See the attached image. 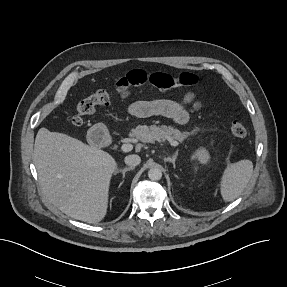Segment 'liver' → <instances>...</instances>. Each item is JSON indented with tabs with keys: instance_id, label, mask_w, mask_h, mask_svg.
<instances>
[{
	"instance_id": "liver-1",
	"label": "liver",
	"mask_w": 287,
	"mask_h": 287,
	"mask_svg": "<svg viewBox=\"0 0 287 287\" xmlns=\"http://www.w3.org/2000/svg\"><path fill=\"white\" fill-rule=\"evenodd\" d=\"M33 160L47 200L66 215L97 223L107 214L115 159L64 133L39 129Z\"/></svg>"
}]
</instances>
